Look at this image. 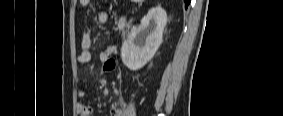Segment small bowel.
Returning a JSON list of instances; mask_svg holds the SVG:
<instances>
[{
  "label": "small bowel",
  "mask_w": 283,
  "mask_h": 116,
  "mask_svg": "<svg viewBox=\"0 0 283 116\" xmlns=\"http://www.w3.org/2000/svg\"><path fill=\"white\" fill-rule=\"evenodd\" d=\"M81 4L84 7H88L90 5V0H81ZM97 20L99 23L104 24L107 23L108 21V14L103 11V10H97L96 12ZM81 52L77 57L78 63L84 64L90 61L91 59V51H90V46H91V36L90 32L87 31L82 39H81ZM116 50L115 46H110L106 48L104 51L101 52L100 54V59L104 61L103 65V71H110L114 67L113 61L108 59V57ZM80 95L83 96L84 93L80 92ZM78 110L82 115H89L92 114V103L90 102H84L79 104ZM110 115L111 116H122L123 111L118 105L117 101H114L111 105L110 109Z\"/></svg>",
  "instance_id": "obj_1"
}]
</instances>
